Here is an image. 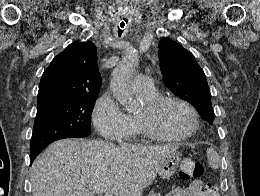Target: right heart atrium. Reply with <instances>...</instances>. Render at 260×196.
<instances>
[{"mask_svg":"<svg viewBox=\"0 0 260 196\" xmlns=\"http://www.w3.org/2000/svg\"><path fill=\"white\" fill-rule=\"evenodd\" d=\"M92 121L97 131L101 134L92 143H114L120 137L118 130L131 129L130 116L119 106L109 92L103 93L97 99L92 110Z\"/></svg>","mask_w":260,"mask_h":196,"instance_id":"obj_1","label":"right heart atrium"}]
</instances>
